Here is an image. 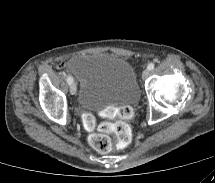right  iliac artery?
I'll return each instance as SVG.
<instances>
[{
  "label": "right iliac artery",
  "instance_id": "obj_1",
  "mask_svg": "<svg viewBox=\"0 0 215 183\" xmlns=\"http://www.w3.org/2000/svg\"><path fill=\"white\" fill-rule=\"evenodd\" d=\"M67 83L71 85L73 83V78L71 76L67 77Z\"/></svg>",
  "mask_w": 215,
  "mask_h": 183
}]
</instances>
